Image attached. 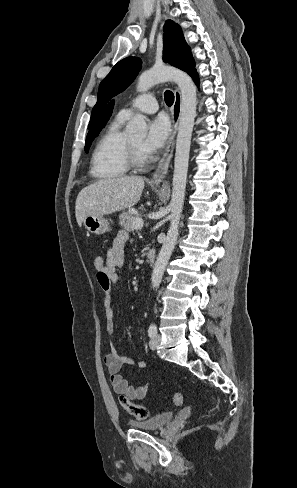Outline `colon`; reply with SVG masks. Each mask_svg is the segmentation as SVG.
<instances>
[{
	"instance_id": "1",
	"label": "colon",
	"mask_w": 297,
	"mask_h": 488,
	"mask_svg": "<svg viewBox=\"0 0 297 488\" xmlns=\"http://www.w3.org/2000/svg\"><path fill=\"white\" fill-rule=\"evenodd\" d=\"M94 266L97 270L102 269L104 266V258L99 255L96 256L94 258ZM119 400L123 409L127 413L133 415L136 419L146 420L149 417V411L146 407L132 403L128 398H126L123 395L120 396ZM182 401H183L182 394L176 393L173 398L174 405L179 406L182 403Z\"/></svg>"
}]
</instances>
